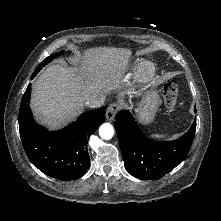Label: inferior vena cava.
I'll list each match as a JSON object with an SVG mask.
<instances>
[{
  "instance_id": "obj_1",
  "label": "inferior vena cava",
  "mask_w": 221,
  "mask_h": 221,
  "mask_svg": "<svg viewBox=\"0 0 221 221\" xmlns=\"http://www.w3.org/2000/svg\"><path fill=\"white\" fill-rule=\"evenodd\" d=\"M104 100L105 99H104L103 96H101V97H98V96L97 97H91L90 99H88L86 101V105L91 107V108H98V107L103 105Z\"/></svg>"
}]
</instances>
